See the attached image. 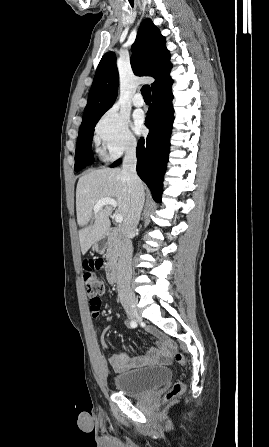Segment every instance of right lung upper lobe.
I'll list each match as a JSON object with an SVG mask.
<instances>
[{
	"instance_id": "1",
	"label": "right lung upper lobe",
	"mask_w": 269,
	"mask_h": 447,
	"mask_svg": "<svg viewBox=\"0 0 269 447\" xmlns=\"http://www.w3.org/2000/svg\"><path fill=\"white\" fill-rule=\"evenodd\" d=\"M131 66L138 76H152L155 82L170 73V53L165 47V38L151 19H145L139 28L136 41L131 47ZM152 83L151 87L155 84ZM118 90V69L113 52L103 55L89 92L81 127L100 117L113 105Z\"/></svg>"
}]
</instances>
